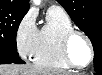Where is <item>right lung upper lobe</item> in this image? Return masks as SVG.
Masks as SVG:
<instances>
[{"label":"right lung upper lobe","mask_w":102,"mask_h":75,"mask_svg":"<svg viewBox=\"0 0 102 75\" xmlns=\"http://www.w3.org/2000/svg\"><path fill=\"white\" fill-rule=\"evenodd\" d=\"M1 9H9L15 11H28V0H0Z\"/></svg>","instance_id":"1"}]
</instances>
